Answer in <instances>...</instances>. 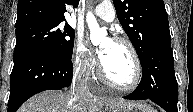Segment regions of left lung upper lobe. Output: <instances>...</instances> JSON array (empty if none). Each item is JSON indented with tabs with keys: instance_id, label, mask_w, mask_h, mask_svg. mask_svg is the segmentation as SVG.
Wrapping results in <instances>:
<instances>
[{
	"instance_id": "5c2ea615",
	"label": "left lung upper lobe",
	"mask_w": 193,
	"mask_h": 112,
	"mask_svg": "<svg viewBox=\"0 0 193 112\" xmlns=\"http://www.w3.org/2000/svg\"><path fill=\"white\" fill-rule=\"evenodd\" d=\"M113 3L140 61L155 44L171 38L163 0H113Z\"/></svg>"
}]
</instances>
